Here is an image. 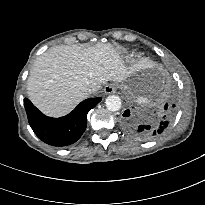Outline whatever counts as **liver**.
I'll return each mask as SVG.
<instances>
[{"label":"liver","instance_id":"1","mask_svg":"<svg viewBox=\"0 0 205 205\" xmlns=\"http://www.w3.org/2000/svg\"><path fill=\"white\" fill-rule=\"evenodd\" d=\"M128 71L110 43L58 45L35 61L27 80V94L44 114L60 117L72 111L106 81L122 82Z\"/></svg>","mask_w":205,"mask_h":205}]
</instances>
